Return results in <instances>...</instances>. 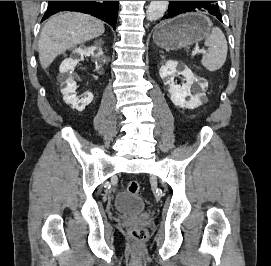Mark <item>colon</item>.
<instances>
[{
    "label": "colon",
    "instance_id": "5ec220e1",
    "mask_svg": "<svg viewBox=\"0 0 271 266\" xmlns=\"http://www.w3.org/2000/svg\"><path fill=\"white\" fill-rule=\"evenodd\" d=\"M127 191L133 195L141 192L140 184L137 181H131L127 185ZM131 237L136 241H143L147 237V231L142 227H135L131 230Z\"/></svg>",
    "mask_w": 271,
    "mask_h": 266
}]
</instances>
